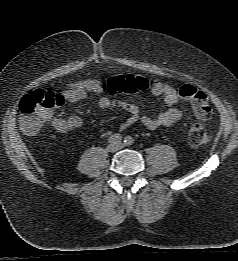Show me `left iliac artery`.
<instances>
[{
  "mask_svg": "<svg viewBox=\"0 0 238 261\" xmlns=\"http://www.w3.org/2000/svg\"><path fill=\"white\" fill-rule=\"evenodd\" d=\"M124 143L126 145L130 146L134 143V139L131 136H126L124 139Z\"/></svg>",
  "mask_w": 238,
  "mask_h": 261,
  "instance_id": "44dca946",
  "label": "left iliac artery"
}]
</instances>
